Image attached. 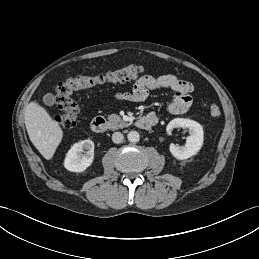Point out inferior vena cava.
Here are the masks:
<instances>
[{"mask_svg":"<svg viewBox=\"0 0 259 259\" xmlns=\"http://www.w3.org/2000/svg\"><path fill=\"white\" fill-rule=\"evenodd\" d=\"M124 139V136L121 132H115L112 134V141L116 144L121 143Z\"/></svg>","mask_w":259,"mask_h":259,"instance_id":"inferior-vena-cava-1","label":"inferior vena cava"}]
</instances>
